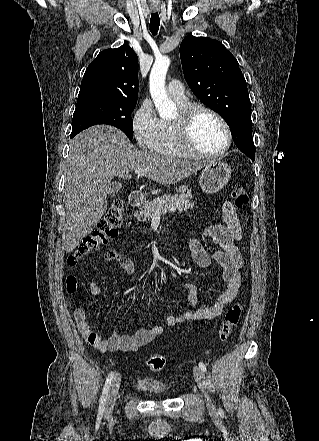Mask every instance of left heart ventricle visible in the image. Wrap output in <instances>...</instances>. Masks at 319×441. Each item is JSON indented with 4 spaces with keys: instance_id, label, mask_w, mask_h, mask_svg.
Listing matches in <instances>:
<instances>
[{
    "instance_id": "obj_1",
    "label": "left heart ventricle",
    "mask_w": 319,
    "mask_h": 441,
    "mask_svg": "<svg viewBox=\"0 0 319 441\" xmlns=\"http://www.w3.org/2000/svg\"><path fill=\"white\" fill-rule=\"evenodd\" d=\"M193 144L203 152H217L226 144V133L220 122L213 116L200 114L192 128Z\"/></svg>"
}]
</instances>
